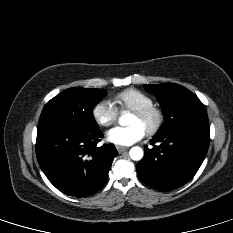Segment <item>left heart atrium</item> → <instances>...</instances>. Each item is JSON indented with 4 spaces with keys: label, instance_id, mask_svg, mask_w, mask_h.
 <instances>
[{
    "label": "left heart atrium",
    "instance_id": "39dd6f15",
    "mask_svg": "<svg viewBox=\"0 0 233 233\" xmlns=\"http://www.w3.org/2000/svg\"><path fill=\"white\" fill-rule=\"evenodd\" d=\"M146 131L138 124L128 126H117L107 132L109 142L121 146H129L140 141Z\"/></svg>",
    "mask_w": 233,
    "mask_h": 233
}]
</instances>
